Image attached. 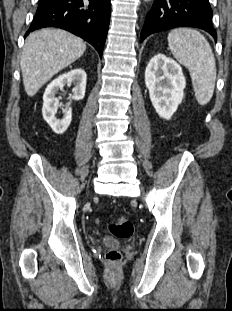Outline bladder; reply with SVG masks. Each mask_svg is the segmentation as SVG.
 Returning a JSON list of instances; mask_svg holds the SVG:
<instances>
[{
  "instance_id": "obj_1",
  "label": "bladder",
  "mask_w": 232,
  "mask_h": 311,
  "mask_svg": "<svg viewBox=\"0 0 232 311\" xmlns=\"http://www.w3.org/2000/svg\"><path fill=\"white\" fill-rule=\"evenodd\" d=\"M104 243L108 246H117L118 245V242L116 240H114L113 238H110V237H105Z\"/></svg>"
}]
</instances>
